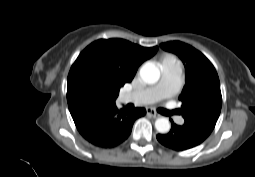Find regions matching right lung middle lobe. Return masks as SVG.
Here are the masks:
<instances>
[{"mask_svg":"<svg viewBox=\"0 0 255 177\" xmlns=\"http://www.w3.org/2000/svg\"><path fill=\"white\" fill-rule=\"evenodd\" d=\"M69 75L82 81L94 98H106L103 91L108 87V70L97 59L85 57L79 62H74ZM112 101H115V98Z\"/></svg>","mask_w":255,"mask_h":177,"instance_id":"obj_1","label":"right lung middle lobe"}]
</instances>
